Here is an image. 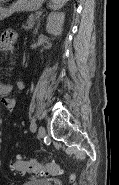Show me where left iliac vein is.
I'll return each mask as SVG.
<instances>
[{
  "mask_svg": "<svg viewBox=\"0 0 119 185\" xmlns=\"http://www.w3.org/2000/svg\"><path fill=\"white\" fill-rule=\"evenodd\" d=\"M46 135V130L43 126H40L38 129V136L39 138H43Z\"/></svg>",
  "mask_w": 119,
  "mask_h": 185,
  "instance_id": "4c4485c4",
  "label": "left iliac vein"
}]
</instances>
